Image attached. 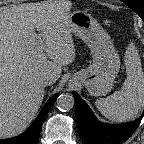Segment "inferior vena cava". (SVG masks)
<instances>
[{
	"mask_svg": "<svg viewBox=\"0 0 144 144\" xmlns=\"http://www.w3.org/2000/svg\"><path fill=\"white\" fill-rule=\"evenodd\" d=\"M54 82H55V81H54V79L52 78V76H49V75L43 77V78L41 79V81H40V83H41L42 86H48V85L53 84Z\"/></svg>",
	"mask_w": 144,
	"mask_h": 144,
	"instance_id": "obj_1",
	"label": "inferior vena cava"
}]
</instances>
